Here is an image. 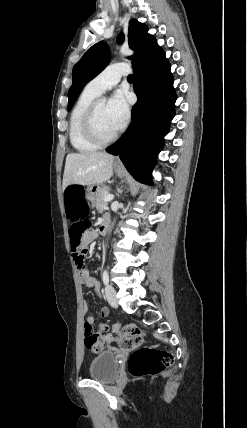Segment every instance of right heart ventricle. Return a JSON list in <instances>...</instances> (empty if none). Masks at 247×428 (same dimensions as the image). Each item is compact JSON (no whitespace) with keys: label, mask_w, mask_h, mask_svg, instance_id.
I'll list each match as a JSON object with an SVG mask.
<instances>
[{"label":"right heart ventricle","mask_w":247,"mask_h":428,"mask_svg":"<svg viewBox=\"0 0 247 428\" xmlns=\"http://www.w3.org/2000/svg\"><path fill=\"white\" fill-rule=\"evenodd\" d=\"M99 94L85 87L76 101L69 122V139L72 147L80 153L96 151L99 146L90 141L83 131V118L90 105L97 100Z\"/></svg>","instance_id":"right-heart-ventricle-1"}]
</instances>
